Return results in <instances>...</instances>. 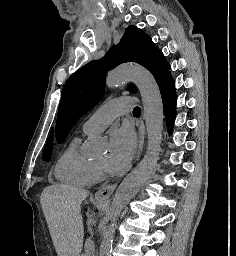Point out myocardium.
Instances as JSON below:
<instances>
[{
    "label": "myocardium",
    "instance_id": "f54148a6",
    "mask_svg": "<svg viewBox=\"0 0 236 256\" xmlns=\"http://www.w3.org/2000/svg\"><path fill=\"white\" fill-rule=\"evenodd\" d=\"M118 85H119V84H115L114 86L117 87ZM98 166L101 167V168H104L103 164H99V163H98Z\"/></svg>",
    "mask_w": 236,
    "mask_h": 256
}]
</instances>
